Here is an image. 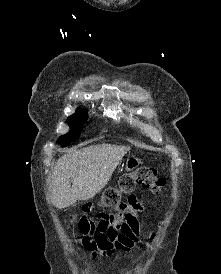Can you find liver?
Returning a JSON list of instances; mask_svg holds the SVG:
<instances>
[{
    "label": "liver",
    "instance_id": "obj_1",
    "mask_svg": "<svg viewBox=\"0 0 221 274\" xmlns=\"http://www.w3.org/2000/svg\"><path fill=\"white\" fill-rule=\"evenodd\" d=\"M129 147L99 144L74 150L56 163L50 181V198L58 209L87 201L109 182ZM72 183V185H71Z\"/></svg>",
    "mask_w": 221,
    "mask_h": 274
}]
</instances>
